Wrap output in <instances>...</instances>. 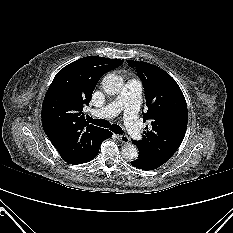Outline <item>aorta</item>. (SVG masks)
Returning <instances> with one entry per match:
<instances>
[{
    "mask_svg": "<svg viewBox=\"0 0 233 233\" xmlns=\"http://www.w3.org/2000/svg\"><path fill=\"white\" fill-rule=\"evenodd\" d=\"M103 90L109 95L118 94L123 87V79L115 74H108L102 80ZM122 155L127 161H133L138 157V149L132 143H126L122 147Z\"/></svg>",
    "mask_w": 233,
    "mask_h": 233,
    "instance_id": "1",
    "label": "aorta"
}]
</instances>
